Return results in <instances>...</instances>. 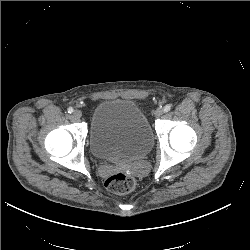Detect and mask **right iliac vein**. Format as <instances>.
Returning a JSON list of instances; mask_svg holds the SVG:
<instances>
[{
    "mask_svg": "<svg viewBox=\"0 0 250 250\" xmlns=\"http://www.w3.org/2000/svg\"><path fill=\"white\" fill-rule=\"evenodd\" d=\"M73 117H74L75 119H80V118L82 117V112H81L80 110H75V111L73 112Z\"/></svg>",
    "mask_w": 250,
    "mask_h": 250,
    "instance_id": "1",
    "label": "right iliac vein"
}]
</instances>
